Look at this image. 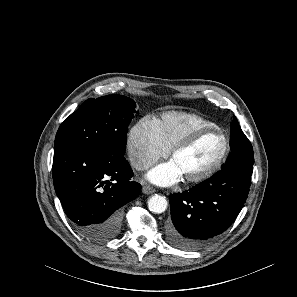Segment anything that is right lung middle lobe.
Returning <instances> with one entry per match:
<instances>
[{
    "label": "right lung middle lobe",
    "instance_id": "dd1d6c3e",
    "mask_svg": "<svg viewBox=\"0 0 297 297\" xmlns=\"http://www.w3.org/2000/svg\"><path fill=\"white\" fill-rule=\"evenodd\" d=\"M135 102L122 95L86 100L60 125L55 149L93 147L112 155L124 156L128 125Z\"/></svg>",
    "mask_w": 297,
    "mask_h": 297
}]
</instances>
